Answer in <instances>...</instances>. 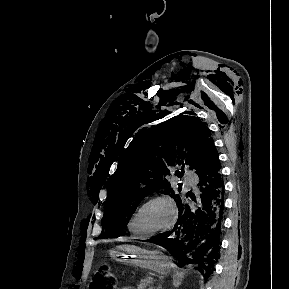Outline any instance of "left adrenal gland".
Returning a JSON list of instances; mask_svg holds the SVG:
<instances>
[{
  "label": "left adrenal gland",
  "mask_w": 289,
  "mask_h": 289,
  "mask_svg": "<svg viewBox=\"0 0 289 289\" xmlns=\"http://www.w3.org/2000/svg\"><path fill=\"white\" fill-rule=\"evenodd\" d=\"M156 289H162V284H159V286Z\"/></svg>",
  "instance_id": "left-adrenal-gland-1"
}]
</instances>
